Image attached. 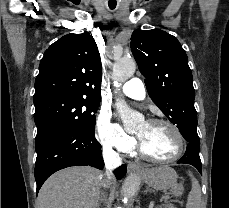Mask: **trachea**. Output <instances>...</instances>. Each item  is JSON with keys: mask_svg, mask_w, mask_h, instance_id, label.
I'll list each match as a JSON object with an SVG mask.
<instances>
[{"mask_svg": "<svg viewBox=\"0 0 229 208\" xmlns=\"http://www.w3.org/2000/svg\"><path fill=\"white\" fill-rule=\"evenodd\" d=\"M111 10H114V8H116V7H109Z\"/></svg>", "mask_w": 229, "mask_h": 208, "instance_id": "3493384b", "label": "trachea"}]
</instances>
